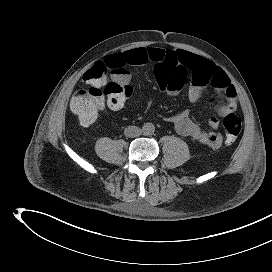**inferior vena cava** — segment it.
<instances>
[{
	"label": "inferior vena cava",
	"mask_w": 272,
	"mask_h": 272,
	"mask_svg": "<svg viewBox=\"0 0 272 272\" xmlns=\"http://www.w3.org/2000/svg\"><path fill=\"white\" fill-rule=\"evenodd\" d=\"M124 133L126 137L134 138L140 136L142 130L137 126H128L125 128Z\"/></svg>",
	"instance_id": "1"
}]
</instances>
